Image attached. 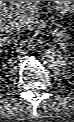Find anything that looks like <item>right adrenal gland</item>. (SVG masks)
Here are the masks:
<instances>
[{"label": "right adrenal gland", "instance_id": "right-adrenal-gland-1", "mask_svg": "<svg viewBox=\"0 0 74 122\" xmlns=\"http://www.w3.org/2000/svg\"><path fill=\"white\" fill-rule=\"evenodd\" d=\"M19 35H20L19 33H16V34L12 35V36L8 39L6 45H10L12 41L17 42V40L19 39Z\"/></svg>", "mask_w": 74, "mask_h": 122}]
</instances>
